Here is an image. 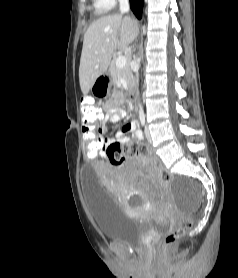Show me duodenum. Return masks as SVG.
<instances>
[{
    "mask_svg": "<svg viewBox=\"0 0 238 278\" xmlns=\"http://www.w3.org/2000/svg\"><path fill=\"white\" fill-rule=\"evenodd\" d=\"M131 104L133 105V107H136V95L135 93L131 94Z\"/></svg>",
    "mask_w": 238,
    "mask_h": 278,
    "instance_id": "obj_1",
    "label": "duodenum"
}]
</instances>
